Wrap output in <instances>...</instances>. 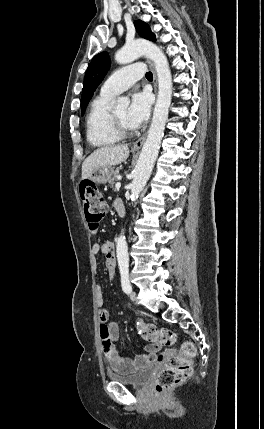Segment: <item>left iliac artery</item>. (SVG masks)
I'll return each mask as SVG.
<instances>
[{"label":"left iliac artery","instance_id":"44dca946","mask_svg":"<svg viewBox=\"0 0 264 429\" xmlns=\"http://www.w3.org/2000/svg\"><path fill=\"white\" fill-rule=\"evenodd\" d=\"M121 274V286L125 293H130L132 290L130 280H129V270L128 268H121L120 269Z\"/></svg>","mask_w":264,"mask_h":429}]
</instances>
